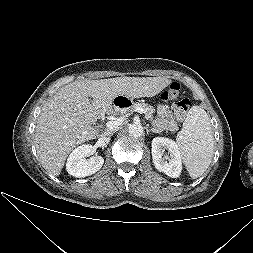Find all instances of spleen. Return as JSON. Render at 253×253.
Instances as JSON below:
<instances>
[{
    "mask_svg": "<svg viewBox=\"0 0 253 253\" xmlns=\"http://www.w3.org/2000/svg\"><path fill=\"white\" fill-rule=\"evenodd\" d=\"M176 140L190 177H200L209 167L214 153L210 117L204 109L191 107Z\"/></svg>",
    "mask_w": 253,
    "mask_h": 253,
    "instance_id": "3e777b00",
    "label": "spleen"
}]
</instances>
